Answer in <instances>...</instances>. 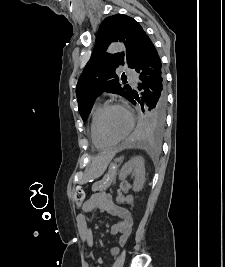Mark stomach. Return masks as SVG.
I'll return each instance as SVG.
<instances>
[{
	"instance_id": "0dacf381",
	"label": "stomach",
	"mask_w": 225,
	"mask_h": 267,
	"mask_svg": "<svg viewBox=\"0 0 225 267\" xmlns=\"http://www.w3.org/2000/svg\"><path fill=\"white\" fill-rule=\"evenodd\" d=\"M113 154H101L92 165V172L90 178H97L105 171L108 163L111 161Z\"/></svg>"
}]
</instances>
